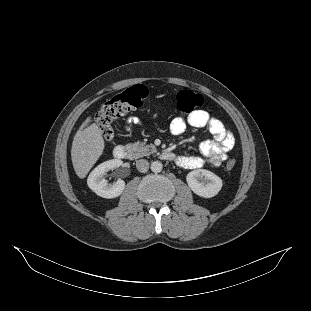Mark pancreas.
Instances as JSON below:
<instances>
[{
  "mask_svg": "<svg viewBox=\"0 0 311 311\" xmlns=\"http://www.w3.org/2000/svg\"><path fill=\"white\" fill-rule=\"evenodd\" d=\"M127 150L130 153H134L135 158H140L143 156H148L149 154H155L158 149L153 144H146L145 142H136L133 144H128Z\"/></svg>",
  "mask_w": 311,
  "mask_h": 311,
  "instance_id": "obj_1",
  "label": "pancreas"
}]
</instances>
